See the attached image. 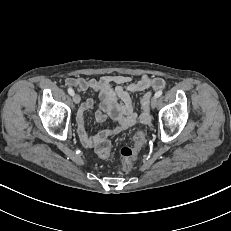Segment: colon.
Returning <instances> with one entry per match:
<instances>
[{"instance_id": "colon-1", "label": "colon", "mask_w": 231, "mask_h": 231, "mask_svg": "<svg viewBox=\"0 0 231 231\" xmlns=\"http://www.w3.org/2000/svg\"><path fill=\"white\" fill-rule=\"evenodd\" d=\"M146 142V133L143 129H137L132 138V145L121 149L122 169L128 172L132 169L139 149ZM98 155L103 159H108L112 155L111 144L107 139H102L96 145Z\"/></svg>"}]
</instances>
